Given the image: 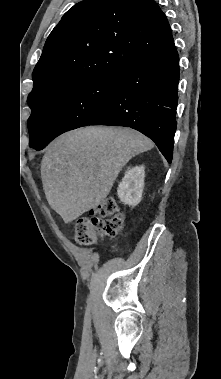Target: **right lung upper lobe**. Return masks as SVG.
I'll return each instance as SVG.
<instances>
[{"instance_id": "right-lung-upper-lobe-1", "label": "right lung upper lobe", "mask_w": 221, "mask_h": 379, "mask_svg": "<svg viewBox=\"0 0 221 379\" xmlns=\"http://www.w3.org/2000/svg\"><path fill=\"white\" fill-rule=\"evenodd\" d=\"M174 42L154 0H84L50 33L33 71L34 98L77 80L120 72Z\"/></svg>"}]
</instances>
